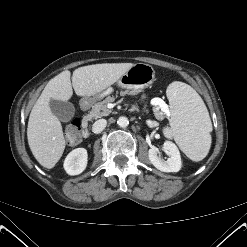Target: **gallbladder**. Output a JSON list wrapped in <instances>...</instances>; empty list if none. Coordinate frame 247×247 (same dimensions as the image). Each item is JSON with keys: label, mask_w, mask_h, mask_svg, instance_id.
Returning a JSON list of instances; mask_svg holds the SVG:
<instances>
[{"label": "gallbladder", "mask_w": 247, "mask_h": 247, "mask_svg": "<svg viewBox=\"0 0 247 247\" xmlns=\"http://www.w3.org/2000/svg\"><path fill=\"white\" fill-rule=\"evenodd\" d=\"M49 105L52 113L63 122L70 121L75 114V107L70 102L51 99Z\"/></svg>", "instance_id": "obj_1"}]
</instances>
